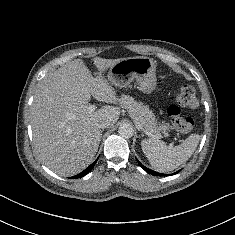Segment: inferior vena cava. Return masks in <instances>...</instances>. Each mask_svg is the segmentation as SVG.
I'll use <instances>...</instances> for the list:
<instances>
[{"instance_id":"1","label":"inferior vena cava","mask_w":235,"mask_h":235,"mask_svg":"<svg viewBox=\"0 0 235 235\" xmlns=\"http://www.w3.org/2000/svg\"><path fill=\"white\" fill-rule=\"evenodd\" d=\"M110 125V122L109 121H102L98 127L101 128V129H104V128H107L108 126Z\"/></svg>"}]
</instances>
